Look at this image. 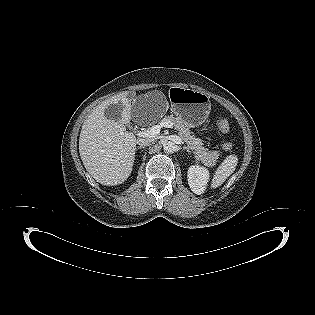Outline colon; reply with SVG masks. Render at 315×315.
<instances>
[{"instance_id": "colon-1", "label": "colon", "mask_w": 315, "mask_h": 315, "mask_svg": "<svg viewBox=\"0 0 315 315\" xmlns=\"http://www.w3.org/2000/svg\"><path fill=\"white\" fill-rule=\"evenodd\" d=\"M216 126L217 129L222 133L229 131V122L226 119H219L216 123ZM223 148L225 150H231L233 148V144L231 142H225L223 144Z\"/></svg>"}]
</instances>
